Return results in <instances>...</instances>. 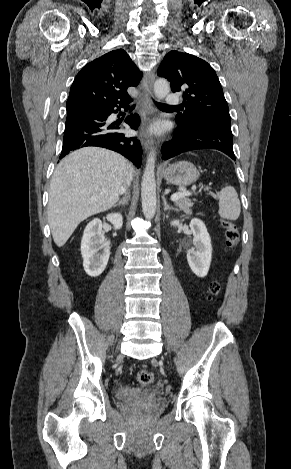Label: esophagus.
I'll return each mask as SVG.
<instances>
[{
  "mask_svg": "<svg viewBox=\"0 0 291 469\" xmlns=\"http://www.w3.org/2000/svg\"><path fill=\"white\" fill-rule=\"evenodd\" d=\"M155 81V72L154 70L149 71L143 79V89H142V118L141 126L139 131V140L145 150H148L153 142L148 134V123L150 116L153 112L152 105V96H153V85Z\"/></svg>",
  "mask_w": 291,
  "mask_h": 469,
  "instance_id": "esophagus-1",
  "label": "esophagus"
}]
</instances>
